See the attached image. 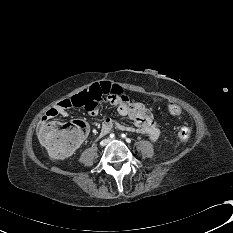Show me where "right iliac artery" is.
Returning <instances> with one entry per match:
<instances>
[{"label": "right iliac artery", "mask_w": 233, "mask_h": 233, "mask_svg": "<svg viewBox=\"0 0 233 233\" xmlns=\"http://www.w3.org/2000/svg\"><path fill=\"white\" fill-rule=\"evenodd\" d=\"M109 137H110V138H114L115 135L112 133V134L109 135Z\"/></svg>", "instance_id": "82829eb1"}]
</instances>
